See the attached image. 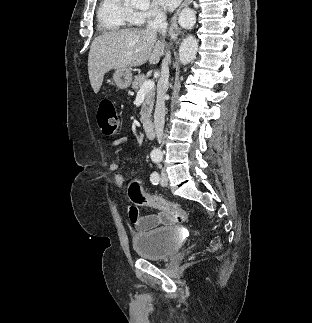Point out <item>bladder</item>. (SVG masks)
<instances>
[{
	"mask_svg": "<svg viewBox=\"0 0 312 323\" xmlns=\"http://www.w3.org/2000/svg\"><path fill=\"white\" fill-rule=\"evenodd\" d=\"M179 239L174 227H165L135 235L133 247L138 256L149 260L164 259L177 252Z\"/></svg>",
	"mask_w": 312,
	"mask_h": 323,
	"instance_id": "1",
	"label": "bladder"
}]
</instances>
